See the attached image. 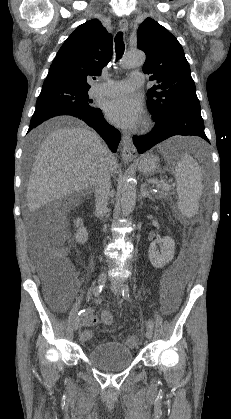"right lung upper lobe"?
Instances as JSON below:
<instances>
[{"instance_id":"right-lung-upper-lobe-1","label":"right lung upper lobe","mask_w":231,"mask_h":419,"mask_svg":"<svg viewBox=\"0 0 231 419\" xmlns=\"http://www.w3.org/2000/svg\"><path fill=\"white\" fill-rule=\"evenodd\" d=\"M112 35L98 19L85 22L67 38L50 66L44 86L66 85L90 88L112 57Z\"/></svg>"}]
</instances>
